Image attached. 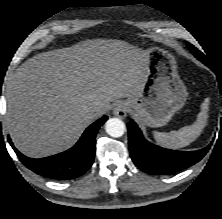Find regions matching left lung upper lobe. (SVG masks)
I'll return each mask as SVG.
<instances>
[{"mask_svg": "<svg viewBox=\"0 0 222 219\" xmlns=\"http://www.w3.org/2000/svg\"><path fill=\"white\" fill-rule=\"evenodd\" d=\"M187 47L191 50V52L193 53L194 51H199L197 48H195L192 44L187 43Z\"/></svg>", "mask_w": 222, "mask_h": 219, "instance_id": "left-lung-upper-lobe-1", "label": "left lung upper lobe"}]
</instances>
